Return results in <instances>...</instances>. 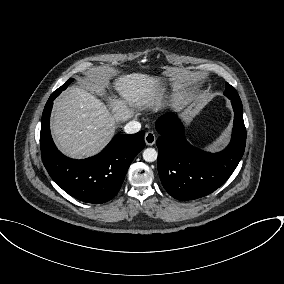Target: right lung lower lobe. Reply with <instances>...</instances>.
I'll return each instance as SVG.
<instances>
[{
  "label": "right lung lower lobe",
  "mask_w": 284,
  "mask_h": 284,
  "mask_svg": "<svg viewBox=\"0 0 284 284\" xmlns=\"http://www.w3.org/2000/svg\"><path fill=\"white\" fill-rule=\"evenodd\" d=\"M56 95L48 99L41 123L40 145L43 164L51 178L74 198L104 203L120 190L134 157L144 149V131L116 135L97 155L74 160L57 150L50 134V113Z\"/></svg>",
  "instance_id": "98d812e1"
}]
</instances>
